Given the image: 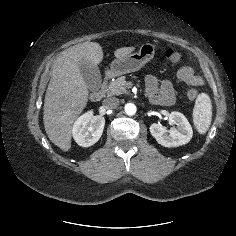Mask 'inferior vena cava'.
Masks as SVG:
<instances>
[{"label":"inferior vena cava","mask_w":236,"mask_h":236,"mask_svg":"<svg viewBox=\"0 0 236 236\" xmlns=\"http://www.w3.org/2000/svg\"><path fill=\"white\" fill-rule=\"evenodd\" d=\"M119 99L116 97H109L103 100V106L106 109H115L119 106Z\"/></svg>","instance_id":"inferior-vena-cava-1"}]
</instances>
